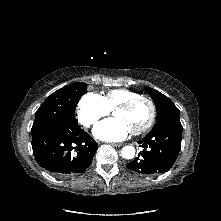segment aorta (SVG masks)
<instances>
[{
    "mask_svg": "<svg viewBox=\"0 0 221 221\" xmlns=\"http://www.w3.org/2000/svg\"><path fill=\"white\" fill-rule=\"evenodd\" d=\"M122 157L132 159L135 156V148L133 146H125L121 150Z\"/></svg>",
    "mask_w": 221,
    "mask_h": 221,
    "instance_id": "obj_1",
    "label": "aorta"
}]
</instances>
